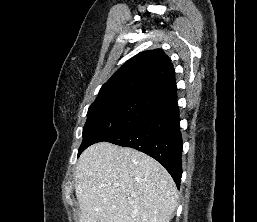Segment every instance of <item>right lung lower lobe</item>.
Segmentation results:
<instances>
[{"label": "right lung lower lobe", "mask_w": 257, "mask_h": 222, "mask_svg": "<svg viewBox=\"0 0 257 222\" xmlns=\"http://www.w3.org/2000/svg\"><path fill=\"white\" fill-rule=\"evenodd\" d=\"M179 122V108L175 101L111 137L107 142L132 147L153 157L167 169L179 188L183 144Z\"/></svg>", "instance_id": "1"}]
</instances>
